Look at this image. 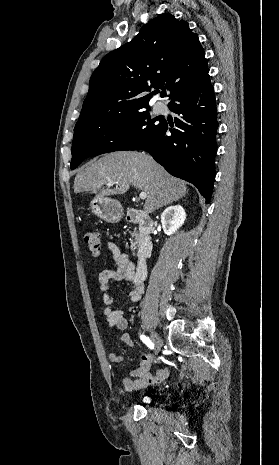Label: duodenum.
Instances as JSON below:
<instances>
[{
  "instance_id": "obj_1",
  "label": "duodenum",
  "mask_w": 279,
  "mask_h": 465,
  "mask_svg": "<svg viewBox=\"0 0 279 465\" xmlns=\"http://www.w3.org/2000/svg\"><path fill=\"white\" fill-rule=\"evenodd\" d=\"M126 220L130 223L137 224L139 227L140 242L137 249L138 263L133 279L135 282H143L147 274L146 261L151 256L153 250V242L151 239L153 222L146 213L139 210L128 211Z\"/></svg>"
}]
</instances>
